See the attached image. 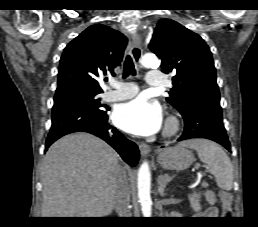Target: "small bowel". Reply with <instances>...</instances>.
<instances>
[{"mask_svg":"<svg viewBox=\"0 0 258 227\" xmlns=\"http://www.w3.org/2000/svg\"><path fill=\"white\" fill-rule=\"evenodd\" d=\"M205 200L210 204V206L203 212V215L207 218H215L219 215L218 209L216 207V197L212 191H207L204 194Z\"/></svg>","mask_w":258,"mask_h":227,"instance_id":"1","label":"small bowel"}]
</instances>
